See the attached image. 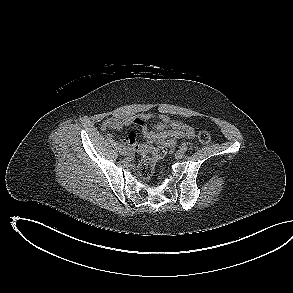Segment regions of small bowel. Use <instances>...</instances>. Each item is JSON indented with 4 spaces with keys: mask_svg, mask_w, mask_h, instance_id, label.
<instances>
[{
    "mask_svg": "<svg viewBox=\"0 0 293 293\" xmlns=\"http://www.w3.org/2000/svg\"><path fill=\"white\" fill-rule=\"evenodd\" d=\"M157 119L158 123L154 129L149 128L147 122ZM135 124L140 126L144 137V142L139 144L135 133H130L124 140L125 144L133 149H147L154 143L164 141L176 142L179 139H190L195 136V131L187 123L172 120L169 116L153 113H142L135 117L108 118L101 124L102 130L119 129Z\"/></svg>",
    "mask_w": 293,
    "mask_h": 293,
    "instance_id": "obj_1",
    "label": "small bowel"
}]
</instances>
